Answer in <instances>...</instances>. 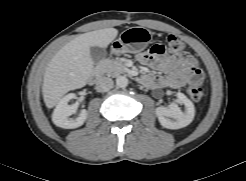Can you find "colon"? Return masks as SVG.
<instances>
[{
    "instance_id": "obj_1",
    "label": "colon",
    "mask_w": 246,
    "mask_h": 181,
    "mask_svg": "<svg viewBox=\"0 0 246 181\" xmlns=\"http://www.w3.org/2000/svg\"><path fill=\"white\" fill-rule=\"evenodd\" d=\"M185 49V44L174 36H169L166 46L154 45L151 51L155 54H163L167 52L180 53ZM203 81V74L199 67L192 69V84L187 87L188 95L195 101H199L203 98V91L200 84Z\"/></svg>"
}]
</instances>
